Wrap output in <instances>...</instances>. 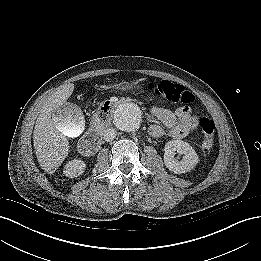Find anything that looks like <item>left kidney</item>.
Masks as SVG:
<instances>
[{"instance_id":"obj_1","label":"left kidney","mask_w":261,"mask_h":261,"mask_svg":"<svg viewBox=\"0 0 261 261\" xmlns=\"http://www.w3.org/2000/svg\"><path fill=\"white\" fill-rule=\"evenodd\" d=\"M164 151L165 166L176 174L189 172L199 161L198 155L192 146L182 140L167 142ZM176 152L183 154L181 160L175 157Z\"/></svg>"}]
</instances>
